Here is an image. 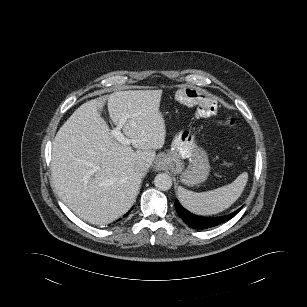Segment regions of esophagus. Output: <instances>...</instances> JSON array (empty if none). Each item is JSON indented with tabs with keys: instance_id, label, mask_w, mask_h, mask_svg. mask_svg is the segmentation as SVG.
I'll return each instance as SVG.
<instances>
[{
	"instance_id": "1",
	"label": "esophagus",
	"mask_w": 307,
	"mask_h": 307,
	"mask_svg": "<svg viewBox=\"0 0 307 307\" xmlns=\"http://www.w3.org/2000/svg\"><path fill=\"white\" fill-rule=\"evenodd\" d=\"M157 167H158V168H161V163H159V164L157 165Z\"/></svg>"
}]
</instances>
